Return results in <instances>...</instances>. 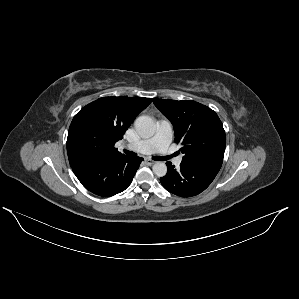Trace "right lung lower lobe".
Returning <instances> with one entry per match:
<instances>
[{"instance_id": "1", "label": "right lung lower lobe", "mask_w": 299, "mask_h": 299, "mask_svg": "<svg viewBox=\"0 0 299 299\" xmlns=\"http://www.w3.org/2000/svg\"><path fill=\"white\" fill-rule=\"evenodd\" d=\"M126 156L96 159L72 168L81 184L90 192L110 197L124 191L142 162Z\"/></svg>"}]
</instances>
